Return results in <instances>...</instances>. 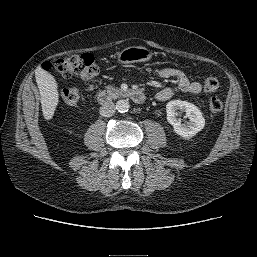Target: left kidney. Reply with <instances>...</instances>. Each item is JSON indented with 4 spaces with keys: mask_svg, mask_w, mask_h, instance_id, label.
Wrapping results in <instances>:
<instances>
[{
    "mask_svg": "<svg viewBox=\"0 0 257 257\" xmlns=\"http://www.w3.org/2000/svg\"><path fill=\"white\" fill-rule=\"evenodd\" d=\"M185 112V117L189 119L187 123H181L177 118V111ZM167 120L173 126L174 132L183 138H190L195 136L205 126V119L194 104L181 101L172 100L166 105Z\"/></svg>",
    "mask_w": 257,
    "mask_h": 257,
    "instance_id": "5707ae66",
    "label": "left kidney"
}]
</instances>
